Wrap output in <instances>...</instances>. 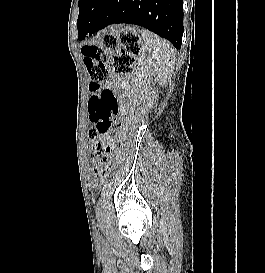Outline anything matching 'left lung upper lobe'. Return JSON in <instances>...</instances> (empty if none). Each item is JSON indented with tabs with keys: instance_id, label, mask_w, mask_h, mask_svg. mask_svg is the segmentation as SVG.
Returning <instances> with one entry per match:
<instances>
[{
	"instance_id": "5c2ea615",
	"label": "left lung upper lobe",
	"mask_w": 265,
	"mask_h": 273,
	"mask_svg": "<svg viewBox=\"0 0 265 273\" xmlns=\"http://www.w3.org/2000/svg\"><path fill=\"white\" fill-rule=\"evenodd\" d=\"M102 1L103 0H79V2H78L79 16H78V20H77L78 31H79L80 25L82 23L83 17L88 12H90L93 9V7L100 4Z\"/></svg>"
}]
</instances>
